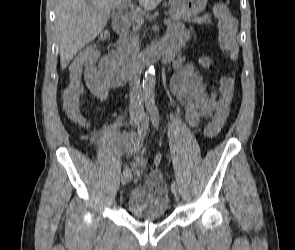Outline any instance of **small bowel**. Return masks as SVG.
Returning a JSON list of instances; mask_svg holds the SVG:
<instances>
[{
    "mask_svg": "<svg viewBox=\"0 0 295 250\" xmlns=\"http://www.w3.org/2000/svg\"><path fill=\"white\" fill-rule=\"evenodd\" d=\"M189 37L188 30L176 27L167 33L164 45L167 59L174 60V73L170 79L172 92L184 106L188 124L196 128L202 119L213 120L221 106L217 93L208 90L193 64L177 58ZM115 62L114 53L100 57L97 52L83 50L71 62L68 75L79 80L83 75L90 94L96 99L105 100L111 89L122 84L115 75ZM131 167L136 174H141L146 161L138 156L132 161Z\"/></svg>",
    "mask_w": 295,
    "mask_h": 250,
    "instance_id": "c3829d8e",
    "label": "small bowel"
}]
</instances>
